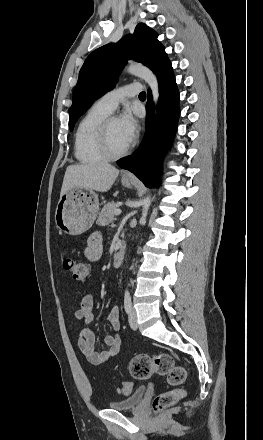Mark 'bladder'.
I'll return each instance as SVG.
<instances>
[{"mask_svg":"<svg viewBox=\"0 0 263 440\" xmlns=\"http://www.w3.org/2000/svg\"><path fill=\"white\" fill-rule=\"evenodd\" d=\"M146 393V387L140 386L129 396L111 401L108 404L109 409L117 411H131L136 409L141 403Z\"/></svg>","mask_w":263,"mask_h":440,"instance_id":"bladder-1","label":"bladder"}]
</instances>
